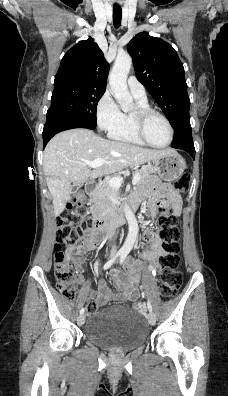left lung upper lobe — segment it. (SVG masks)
<instances>
[{"label":"left lung upper lobe","instance_id":"1","mask_svg":"<svg viewBox=\"0 0 228 396\" xmlns=\"http://www.w3.org/2000/svg\"><path fill=\"white\" fill-rule=\"evenodd\" d=\"M137 79L147 88L173 128L189 114L190 100L184 67L174 48L146 32L128 44Z\"/></svg>","mask_w":228,"mask_h":396}]
</instances>
